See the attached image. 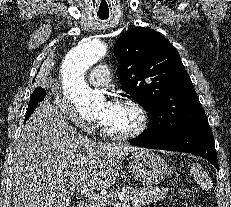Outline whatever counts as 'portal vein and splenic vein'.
Wrapping results in <instances>:
<instances>
[{"label":"portal vein and splenic vein","mask_w":231,"mask_h":207,"mask_svg":"<svg viewBox=\"0 0 231 207\" xmlns=\"http://www.w3.org/2000/svg\"><path fill=\"white\" fill-rule=\"evenodd\" d=\"M72 184H74V183H72ZM77 190L80 191L81 194H85V196L93 202H103V200L105 198L104 196L96 194L95 192L87 189L86 187H78ZM114 206L115 207H130V204H127V202L125 201L122 203H116V204H114Z\"/></svg>","instance_id":"18ae733b"}]
</instances>
